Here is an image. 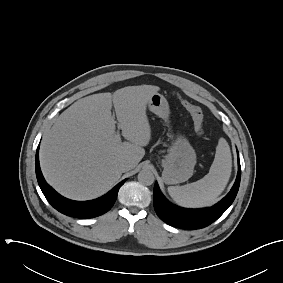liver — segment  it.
I'll return each instance as SVG.
<instances>
[{
	"label": "liver",
	"instance_id": "obj_1",
	"mask_svg": "<svg viewBox=\"0 0 283 283\" xmlns=\"http://www.w3.org/2000/svg\"><path fill=\"white\" fill-rule=\"evenodd\" d=\"M158 86H127L112 93L79 99L58 117L40 146V165L47 182L74 200L97 198L119 180L120 163L135 168L151 139L146 107ZM118 128L127 142L116 138ZM129 169V170H130Z\"/></svg>",
	"mask_w": 283,
	"mask_h": 283
}]
</instances>
